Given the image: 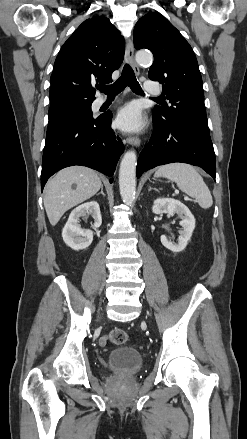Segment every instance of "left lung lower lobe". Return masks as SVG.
Returning <instances> with one entry per match:
<instances>
[{"instance_id": "obj_1", "label": "left lung lower lobe", "mask_w": 247, "mask_h": 439, "mask_svg": "<svg viewBox=\"0 0 247 439\" xmlns=\"http://www.w3.org/2000/svg\"><path fill=\"white\" fill-rule=\"evenodd\" d=\"M153 125L151 140L138 159V178L156 166L182 162L202 167L215 179V153L209 129L188 120L163 123L154 117Z\"/></svg>"}]
</instances>
